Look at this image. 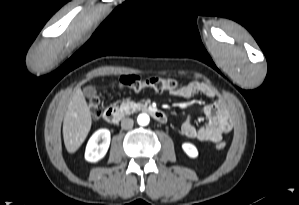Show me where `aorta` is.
Instances as JSON below:
<instances>
[{
    "mask_svg": "<svg viewBox=\"0 0 299 205\" xmlns=\"http://www.w3.org/2000/svg\"><path fill=\"white\" fill-rule=\"evenodd\" d=\"M150 118L148 116V114L146 113H141L138 115L137 117V122L139 125L141 126H146L149 124Z\"/></svg>",
    "mask_w": 299,
    "mask_h": 205,
    "instance_id": "aorta-1",
    "label": "aorta"
}]
</instances>
